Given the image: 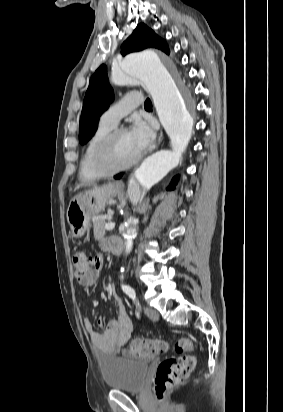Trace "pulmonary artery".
<instances>
[{"mask_svg":"<svg viewBox=\"0 0 283 412\" xmlns=\"http://www.w3.org/2000/svg\"><path fill=\"white\" fill-rule=\"evenodd\" d=\"M143 97L138 93H130L113 103L100 117V123L116 127L119 121L134 108L143 103Z\"/></svg>","mask_w":283,"mask_h":412,"instance_id":"e3ab8cb5","label":"pulmonary artery"}]
</instances>
